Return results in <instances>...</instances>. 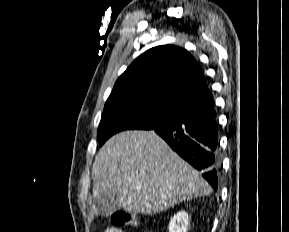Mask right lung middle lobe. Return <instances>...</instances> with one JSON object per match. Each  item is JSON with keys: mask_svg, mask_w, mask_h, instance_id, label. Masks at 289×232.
Returning <instances> with one entry per match:
<instances>
[{"mask_svg": "<svg viewBox=\"0 0 289 232\" xmlns=\"http://www.w3.org/2000/svg\"><path fill=\"white\" fill-rule=\"evenodd\" d=\"M180 109L143 97H114L106 101L97 137L102 146L113 134L128 130H152L175 119Z\"/></svg>", "mask_w": 289, "mask_h": 232, "instance_id": "1", "label": "right lung middle lobe"}]
</instances>
